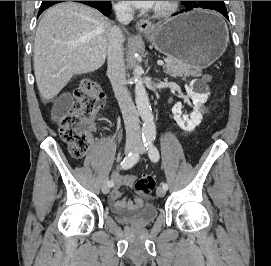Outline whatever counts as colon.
I'll list each match as a JSON object with an SVG mask.
<instances>
[{
    "mask_svg": "<svg viewBox=\"0 0 271 266\" xmlns=\"http://www.w3.org/2000/svg\"><path fill=\"white\" fill-rule=\"evenodd\" d=\"M104 102L105 97L99 84L91 79H84L75 92L71 110L59 121L61 137L69 145L73 157L81 158L90 149V128ZM154 188L155 181L150 175L142 176L135 182V189L144 195H149Z\"/></svg>",
    "mask_w": 271,
    "mask_h": 266,
    "instance_id": "colon-1",
    "label": "colon"
}]
</instances>
